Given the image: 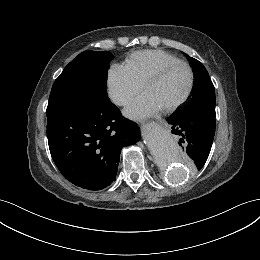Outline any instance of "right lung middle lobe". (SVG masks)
<instances>
[{
    "label": "right lung middle lobe",
    "mask_w": 260,
    "mask_h": 260,
    "mask_svg": "<svg viewBox=\"0 0 260 260\" xmlns=\"http://www.w3.org/2000/svg\"><path fill=\"white\" fill-rule=\"evenodd\" d=\"M113 55L108 51H84L74 58L55 80L47 111L91 107L108 99L107 75Z\"/></svg>",
    "instance_id": "1"
}]
</instances>
